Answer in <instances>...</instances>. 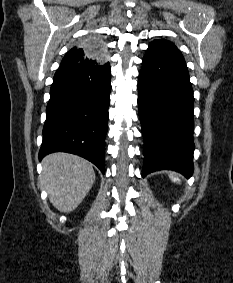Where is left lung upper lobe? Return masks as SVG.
<instances>
[{"label": "left lung upper lobe", "instance_id": "left-lung-upper-lobe-1", "mask_svg": "<svg viewBox=\"0 0 233 283\" xmlns=\"http://www.w3.org/2000/svg\"><path fill=\"white\" fill-rule=\"evenodd\" d=\"M162 43H171V42L161 39V40H154L150 44H162Z\"/></svg>", "mask_w": 233, "mask_h": 283}]
</instances>
